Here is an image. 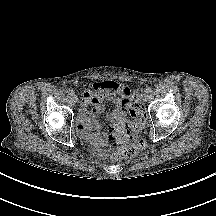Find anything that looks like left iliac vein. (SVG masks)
Returning <instances> with one entry per match:
<instances>
[{"label": "left iliac vein", "instance_id": "obj_1", "mask_svg": "<svg viewBox=\"0 0 216 216\" xmlns=\"http://www.w3.org/2000/svg\"><path fill=\"white\" fill-rule=\"evenodd\" d=\"M148 97H149L148 92H145V93L143 94V96H142V99H143L144 101H147Z\"/></svg>", "mask_w": 216, "mask_h": 216}]
</instances>
